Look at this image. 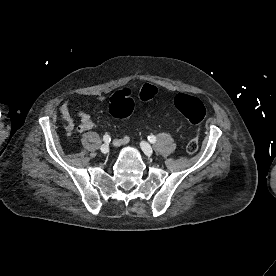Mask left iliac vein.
Wrapping results in <instances>:
<instances>
[{
	"mask_svg": "<svg viewBox=\"0 0 276 276\" xmlns=\"http://www.w3.org/2000/svg\"><path fill=\"white\" fill-rule=\"evenodd\" d=\"M140 145H141V148H142L143 152L147 156H152L153 149H152V147L147 142L142 141Z\"/></svg>",
	"mask_w": 276,
	"mask_h": 276,
	"instance_id": "4c4485c4",
	"label": "left iliac vein"
}]
</instances>
